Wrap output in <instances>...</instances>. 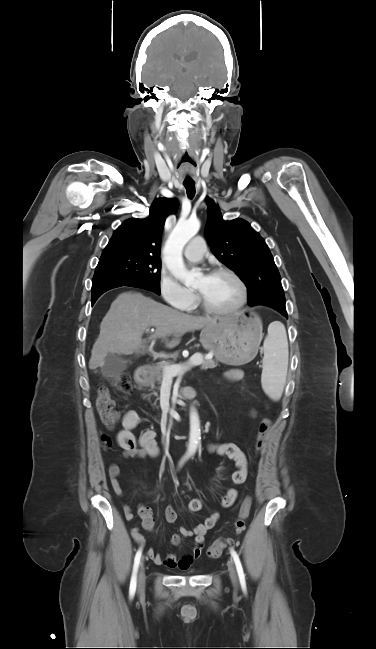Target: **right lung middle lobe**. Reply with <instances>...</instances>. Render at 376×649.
Returning <instances> with one entry per match:
<instances>
[{"label": "right lung middle lobe", "mask_w": 376, "mask_h": 649, "mask_svg": "<svg viewBox=\"0 0 376 649\" xmlns=\"http://www.w3.org/2000/svg\"><path fill=\"white\" fill-rule=\"evenodd\" d=\"M159 255L119 252L101 256L92 280V290L107 283L142 284L160 294Z\"/></svg>", "instance_id": "dd1d6c3e"}]
</instances>
